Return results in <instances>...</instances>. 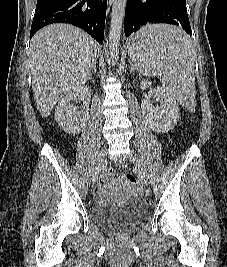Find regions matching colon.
<instances>
[{
  "label": "colon",
  "mask_w": 227,
  "mask_h": 267,
  "mask_svg": "<svg viewBox=\"0 0 227 267\" xmlns=\"http://www.w3.org/2000/svg\"><path fill=\"white\" fill-rule=\"evenodd\" d=\"M106 175L108 178H112L114 176V171L108 170ZM121 182L130 189L137 188V180L132 174H126L125 177L121 180Z\"/></svg>",
  "instance_id": "1"
}]
</instances>
